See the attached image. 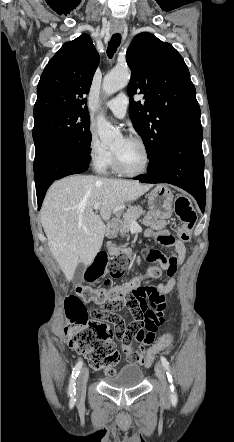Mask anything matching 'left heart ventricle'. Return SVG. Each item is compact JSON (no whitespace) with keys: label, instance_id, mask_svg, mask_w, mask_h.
<instances>
[{"label":"left heart ventricle","instance_id":"b2bd125f","mask_svg":"<svg viewBox=\"0 0 234 442\" xmlns=\"http://www.w3.org/2000/svg\"><path fill=\"white\" fill-rule=\"evenodd\" d=\"M122 167L128 171L140 170L145 162V155L140 145L135 142L119 139L112 147Z\"/></svg>","mask_w":234,"mask_h":442}]
</instances>
